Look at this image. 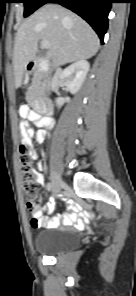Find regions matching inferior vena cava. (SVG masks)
I'll use <instances>...</instances> for the list:
<instances>
[{"instance_id": "obj_1", "label": "inferior vena cava", "mask_w": 136, "mask_h": 296, "mask_svg": "<svg viewBox=\"0 0 136 296\" xmlns=\"http://www.w3.org/2000/svg\"><path fill=\"white\" fill-rule=\"evenodd\" d=\"M52 66L56 67L57 65H56V63H53ZM49 87H50V82H48V92L50 93V88Z\"/></svg>"}]
</instances>
